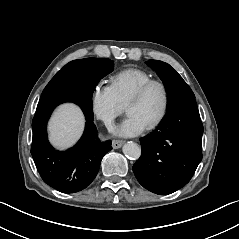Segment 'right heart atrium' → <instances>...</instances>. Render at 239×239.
Wrapping results in <instances>:
<instances>
[{"label": "right heart atrium", "instance_id": "d8ad5b80", "mask_svg": "<svg viewBox=\"0 0 239 239\" xmlns=\"http://www.w3.org/2000/svg\"><path fill=\"white\" fill-rule=\"evenodd\" d=\"M90 108L96 118L112 126L115 118L124 111L125 105L111 85L96 83L90 92Z\"/></svg>", "mask_w": 239, "mask_h": 239}]
</instances>
